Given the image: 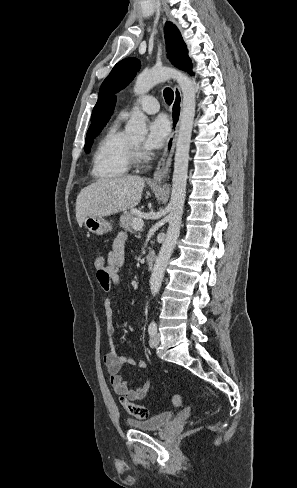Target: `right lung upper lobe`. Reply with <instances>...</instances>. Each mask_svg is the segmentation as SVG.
Returning a JSON list of instances; mask_svg holds the SVG:
<instances>
[{
	"label": "right lung upper lobe",
	"mask_w": 297,
	"mask_h": 488,
	"mask_svg": "<svg viewBox=\"0 0 297 488\" xmlns=\"http://www.w3.org/2000/svg\"><path fill=\"white\" fill-rule=\"evenodd\" d=\"M116 103V97H112L105 107L101 110L95 120L92 122L91 126L88 129L87 136L92 135L98 128L104 126L110 119L111 115L113 114L114 107Z\"/></svg>",
	"instance_id": "right-lung-upper-lobe-1"
}]
</instances>
